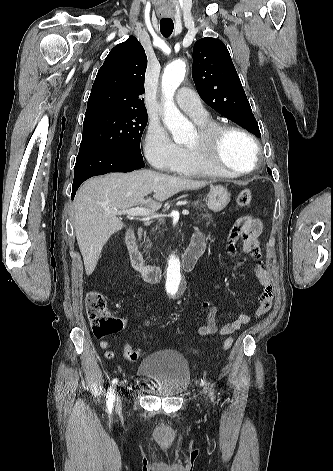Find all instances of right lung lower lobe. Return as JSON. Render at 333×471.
Masks as SVG:
<instances>
[{"label": "right lung lower lobe", "mask_w": 333, "mask_h": 471, "mask_svg": "<svg viewBox=\"0 0 333 471\" xmlns=\"http://www.w3.org/2000/svg\"><path fill=\"white\" fill-rule=\"evenodd\" d=\"M145 166L143 158L118 150L98 148L79 150L74 167L71 198L88 178L109 172H131Z\"/></svg>", "instance_id": "obj_1"}]
</instances>
